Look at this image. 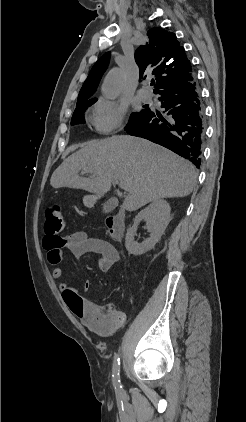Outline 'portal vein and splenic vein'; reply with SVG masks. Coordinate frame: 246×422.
<instances>
[{
	"mask_svg": "<svg viewBox=\"0 0 246 422\" xmlns=\"http://www.w3.org/2000/svg\"><path fill=\"white\" fill-rule=\"evenodd\" d=\"M120 188L125 189V184L119 181H116Z\"/></svg>",
	"mask_w": 246,
	"mask_h": 422,
	"instance_id": "1",
	"label": "portal vein and splenic vein"
}]
</instances>
